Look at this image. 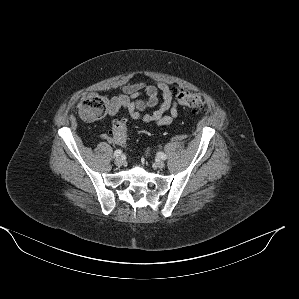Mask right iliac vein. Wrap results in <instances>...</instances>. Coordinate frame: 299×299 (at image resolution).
I'll return each instance as SVG.
<instances>
[{
    "mask_svg": "<svg viewBox=\"0 0 299 299\" xmlns=\"http://www.w3.org/2000/svg\"><path fill=\"white\" fill-rule=\"evenodd\" d=\"M114 162L117 166H122L124 164V160L120 157H117Z\"/></svg>",
    "mask_w": 299,
    "mask_h": 299,
    "instance_id": "right-iliac-vein-1",
    "label": "right iliac vein"
}]
</instances>
